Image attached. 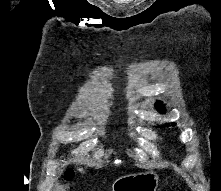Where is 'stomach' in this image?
<instances>
[{"label": "stomach", "mask_w": 221, "mask_h": 191, "mask_svg": "<svg viewBox=\"0 0 221 191\" xmlns=\"http://www.w3.org/2000/svg\"><path fill=\"white\" fill-rule=\"evenodd\" d=\"M158 181V175L153 171L130 174L116 179L112 191H156Z\"/></svg>", "instance_id": "stomach-1"}]
</instances>
